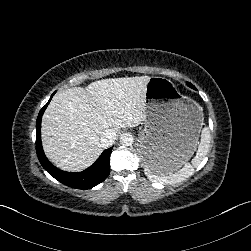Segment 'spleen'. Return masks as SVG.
I'll use <instances>...</instances> for the list:
<instances>
[{
    "mask_svg": "<svg viewBox=\"0 0 251 251\" xmlns=\"http://www.w3.org/2000/svg\"><path fill=\"white\" fill-rule=\"evenodd\" d=\"M211 141V134L208 127H204L201 132V139L198 145L196 156L192 159L190 163H184V166L179 168L176 173L173 172H163L158 168H153L149 165H145V172L148 175H154L151 179L154 181H162L165 183H177L188 178L194 173V168L198 167L202 160L207 155Z\"/></svg>",
    "mask_w": 251,
    "mask_h": 251,
    "instance_id": "spleen-1",
    "label": "spleen"
}]
</instances>
